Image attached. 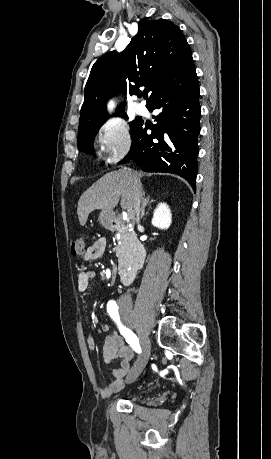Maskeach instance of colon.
I'll list each match as a JSON object with an SVG mask.
<instances>
[{"label":"colon","mask_w":271,"mask_h":459,"mask_svg":"<svg viewBox=\"0 0 271 459\" xmlns=\"http://www.w3.org/2000/svg\"><path fill=\"white\" fill-rule=\"evenodd\" d=\"M86 248V238L84 235H79L73 242H72V253L74 255H82L85 252Z\"/></svg>","instance_id":"5ec220e1"}]
</instances>
